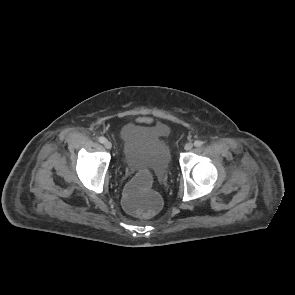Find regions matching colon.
I'll list each match as a JSON object with an SVG mask.
<instances>
[{
    "instance_id": "5ec220e1",
    "label": "colon",
    "mask_w": 295,
    "mask_h": 295,
    "mask_svg": "<svg viewBox=\"0 0 295 295\" xmlns=\"http://www.w3.org/2000/svg\"><path fill=\"white\" fill-rule=\"evenodd\" d=\"M152 188L147 177H134L121 195L122 206L136 217L153 216L161 206V198Z\"/></svg>"
}]
</instances>
